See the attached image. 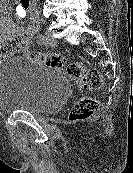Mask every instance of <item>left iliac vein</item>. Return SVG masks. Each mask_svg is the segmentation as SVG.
<instances>
[{"label":"left iliac vein","mask_w":133,"mask_h":173,"mask_svg":"<svg viewBox=\"0 0 133 173\" xmlns=\"http://www.w3.org/2000/svg\"><path fill=\"white\" fill-rule=\"evenodd\" d=\"M44 38L46 45L54 46L56 44V39L53 37L52 33L49 30L45 31Z\"/></svg>","instance_id":"obj_1"}]
</instances>
